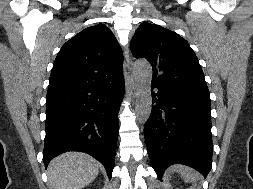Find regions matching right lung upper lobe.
Returning a JSON list of instances; mask_svg holds the SVG:
<instances>
[{"label": "right lung upper lobe", "instance_id": "cb5924a9", "mask_svg": "<svg viewBox=\"0 0 253 189\" xmlns=\"http://www.w3.org/2000/svg\"><path fill=\"white\" fill-rule=\"evenodd\" d=\"M120 45L104 24L88 27L67 41L51 71L48 89L92 85L123 74Z\"/></svg>", "mask_w": 253, "mask_h": 189}]
</instances>
